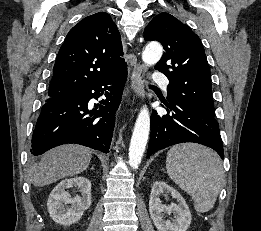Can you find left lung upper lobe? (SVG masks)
<instances>
[{
  "label": "left lung upper lobe",
  "mask_w": 261,
  "mask_h": 231,
  "mask_svg": "<svg viewBox=\"0 0 261 231\" xmlns=\"http://www.w3.org/2000/svg\"><path fill=\"white\" fill-rule=\"evenodd\" d=\"M146 40L159 41L165 52L155 69L170 80L168 101H179L215 115L211 74L199 37L174 16L160 13L144 30Z\"/></svg>",
  "instance_id": "left-lung-upper-lobe-1"
}]
</instances>
